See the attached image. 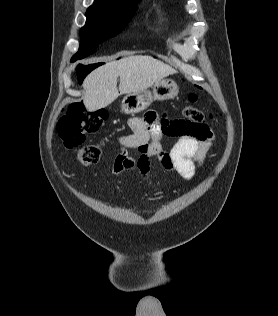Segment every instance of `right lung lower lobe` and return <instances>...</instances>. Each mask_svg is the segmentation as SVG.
<instances>
[{"mask_svg": "<svg viewBox=\"0 0 278 316\" xmlns=\"http://www.w3.org/2000/svg\"><path fill=\"white\" fill-rule=\"evenodd\" d=\"M78 76H79V79H80V80H82V79L85 77V76H84V77H82L81 75H78Z\"/></svg>", "mask_w": 278, "mask_h": 316, "instance_id": "1", "label": "right lung lower lobe"}]
</instances>
